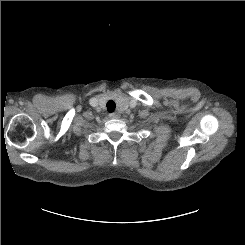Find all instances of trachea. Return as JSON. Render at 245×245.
Returning <instances> with one entry per match:
<instances>
[{"label": "trachea", "instance_id": "1", "mask_svg": "<svg viewBox=\"0 0 245 245\" xmlns=\"http://www.w3.org/2000/svg\"><path fill=\"white\" fill-rule=\"evenodd\" d=\"M107 110L110 112V113H112L114 110H115V107H116V104H115V102L114 101H112V100H109L108 102H107Z\"/></svg>", "mask_w": 245, "mask_h": 245}]
</instances>
